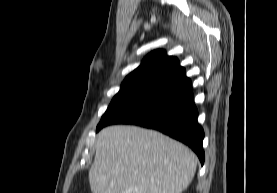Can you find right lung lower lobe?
<instances>
[{
	"label": "right lung lower lobe",
	"mask_w": 277,
	"mask_h": 193,
	"mask_svg": "<svg viewBox=\"0 0 277 193\" xmlns=\"http://www.w3.org/2000/svg\"><path fill=\"white\" fill-rule=\"evenodd\" d=\"M197 116L191 81L185 78L147 94L98 126L96 131L111 124H135L155 129L191 147L203 164L204 131Z\"/></svg>",
	"instance_id": "right-lung-lower-lobe-1"
}]
</instances>
